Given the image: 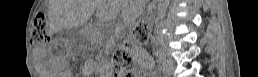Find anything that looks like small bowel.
<instances>
[{
  "mask_svg": "<svg viewBox=\"0 0 258 77\" xmlns=\"http://www.w3.org/2000/svg\"><path fill=\"white\" fill-rule=\"evenodd\" d=\"M146 59L145 58H143V61H142V65L138 68V72L140 73V72H143L144 70H145V68H146Z\"/></svg>",
  "mask_w": 258,
  "mask_h": 77,
  "instance_id": "c3829d8e",
  "label": "small bowel"
}]
</instances>
